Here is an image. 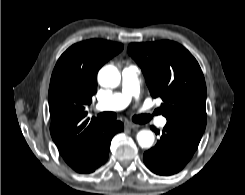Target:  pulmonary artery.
I'll return each instance as SVG.
<instances>
[{"label": "pulmonary artery", "mask_w": 245, "mask_h": 195, "mask_svg": "<svg viewBox=\"0 0 245 195\" xmlns=\"http://www.w3.org/2000/svg\"><path fill=\"white\" fill-rule=\"evenodd\" d=\"M138 67L127 65L122 70V87L120 92H116L110 97L97 103L96 108L101 111H115L124 109L133 99L139 96ZM166 118L159 117L157 124L166 125Z\"/></svg>", "instance_id": "obj_1"}]
</instances>
